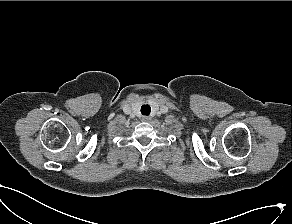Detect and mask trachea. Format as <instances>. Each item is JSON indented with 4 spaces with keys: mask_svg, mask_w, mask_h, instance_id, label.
I'll return each mask as SVG.
<instances>
[{
    "mask_svg": "<svg viewBox=\"0 0 292 224\" xmlns=\"http://www.w3.org/2000/svg\"><path fill=\"white\" fill-rule=\"evenodd\" d=\"M151 112V107L149 105H142L141 107V113L143 115H149Z\"/></svg>",
    "mask_w": 292,
    "mask_h": 224,
    "instance_id": "trachea-1",
    "label": "trachea"
}]
</instances>
